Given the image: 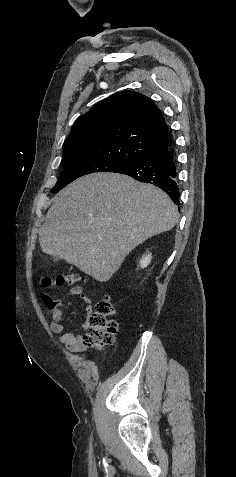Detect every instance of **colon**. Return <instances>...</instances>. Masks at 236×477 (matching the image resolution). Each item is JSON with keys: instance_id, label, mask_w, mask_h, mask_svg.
<instances>
[{"instance_id": "5ec220e1", "label": "colon", "mask_w": 236, "mask_h": 477, "mask_svg": "<svg viewBox=\"0 0 236 477\" xmlns=\"http://www.w3.org/2000/svg\"><path fill=\"white\" fill-rule=\"evenodd\" d=\"M79 280L73 273L58 274L53 278L43 280L45 286L72 284ZM116 310L108 298L100 300L94 312L88 317L84 343L92 348L104 349L114 344L119 329L118 323L111 319Z\"/></svg>"}]
</instances>
